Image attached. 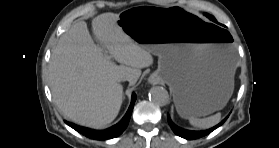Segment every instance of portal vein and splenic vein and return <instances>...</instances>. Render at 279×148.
I'll use <instances>...</instances> for the list:
<instances>
[{"mask_svg": "<svg viewBox=\"0 0 279 148\" xmlns=\"http://www.w3.org/2000/svg\"><path fill=\"white\" fill-rule=\"evenodd\" d=\"M107 58H108V59H111V56L107 55Z\"/></svg>", "mask_w": 279, "mask_h": 148, "instance_id": "obj_1", "label": "portal vein and splenic vein"}]
</instances>
